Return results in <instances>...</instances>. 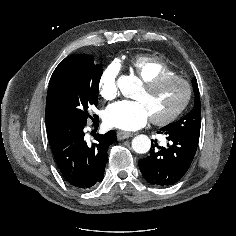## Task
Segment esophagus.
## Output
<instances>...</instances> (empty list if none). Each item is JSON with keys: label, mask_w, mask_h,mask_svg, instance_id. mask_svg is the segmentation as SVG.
Returning a JSON list of instances; mask_svg holds the SVG:
<instances>
[{"label": "esophagus", "mask_w": 236, "mask_h": 236, "mask_svg": "<svg viewBox=\"0 0 236 236\" xmlns=\"http://www.w3.org/2000/svg\"><path fill=\"white\" fill-rule=\"evenodd\" d=\"M132 136H133V134L130 133V132L121 131V130L117 131V138L119 140L127 139V138L132 137Z\"/></svg>", "instance_id": "obj_1"}]
</instances>
